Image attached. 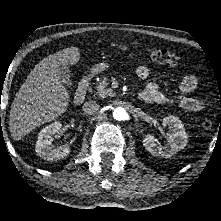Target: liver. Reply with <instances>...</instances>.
I'll return each instance as SVG.
<instances>
[{
    "mask_svg": "<svg viewBox=\"0 0 221 221\" xmlns=\"http://www.w3.org/2000/svg\"><path fill=\"white\" fill-rule=\"evenodd\" d=\"M79 59L78 47H70L45 57L35 66L11 106L9 130L14 140L23 139L40 125L66 112L70 96L58 69L62 65H74Z\"/></svg>",
    "mask_w": 221,
    "mask_h": 221,
    "instance_id": "1",
    "label": "liver"
}]
</instances>
